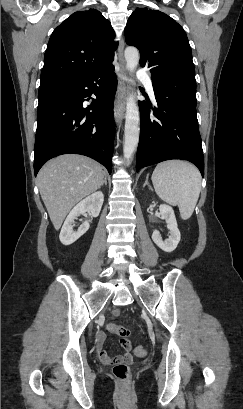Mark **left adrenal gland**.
I'll use <instances>...</instances> for the list:
<instances>
[{"label":"left adrenal gland","mask_w":243,"mask_h":409,"mask_svg":"<svg viewBox=\"0 0 243 409\" xmlns=\"http://www.w3.org/2000/svg\"><path fill=\"white\" fill-rule=\"evenodd\" d=\"M145 186H148L149 189L152 190V187H151V185H150L149 182H148V176L146 177L145 183L143 184V187H145Z\"/></svg>","instance_id":"1"}]
</instances>
